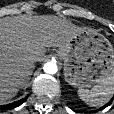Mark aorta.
Returning <instances> with one entry per match:
<instances>
[{
	"instance_id": "762f6f07",
	"label": "aorta",
	"mask_w": 114,
	"mask_h": 114,
	"mask_svg": "<svg viewBox=\"0 0 114 114\" xmlns=\"http://www.w3.org/2000/svg\"><path fill=\"white\" fill-rule=\"evenodd\" d=\"M43 69L48 74H55L57 72V65L54 62H47Z\"/></svg>"
}]
</instances>
